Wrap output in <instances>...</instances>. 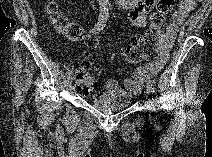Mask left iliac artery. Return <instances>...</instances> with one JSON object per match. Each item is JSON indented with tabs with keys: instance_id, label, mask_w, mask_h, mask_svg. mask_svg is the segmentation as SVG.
Instances as JSON below:
<instances>
[{
	"instance_id": "obj_1",
	"label": "left iliac artery",
	"mask_w": 212,
	"mask_h": 157,
	"mask_svg": "<svg viewBox=\"0 0 212 157\" xmlns=\"http://www.w3.org/2000/svg\"><path fill=\"white\" fill-rule=\"evenodd\" d=\"M147 89L153 93L156 92L155 88L152 86V84L150 82L147 83Z\"/></svg>"
}]
</instances>
